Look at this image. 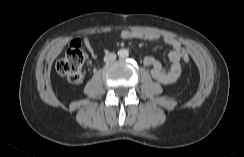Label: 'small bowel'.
<instances>
[{"mask_svg": "<svg viewBox=\"0 0 244 157\" xmlns=\"http://www.w3.org/2000/svg\"><path fill=\"white\" fill-rule=\"evenodd\" d=\"M123 39H142L151 42H164L171 48L169 52L170 65L164 66L153 57L145 58V64L150 68L152 77L161 84L169 85L175 83L181 74V60L185 50L181 44L172 37H161L158 34L124 30L120 34ZM84 45L92 57H96L91 41L88 37L84 39Z\"/></svg>", "mask_w": 244, "mask_h": 157, "instance_id": "c3829d8e", "label": "small bowel"}]
</instances>
